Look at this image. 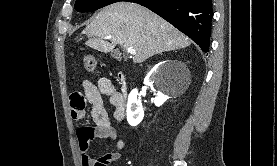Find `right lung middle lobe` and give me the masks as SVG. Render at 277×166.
I'll list each match as a JSON object with an SVG mask.
<instances>
[{"instance_id": "1", "label": "right lung middle lobe", "mask_w": 277, "mask_h": 166, "mask_svg": "<svg viewBox=\"0 0 277 166\" xmlns=\"http://www.w3.org/2000/svg\"><path fill=\"white\" fill-rule=\"evenodd\" d=\"M118 1L121 0H76L75 10L78 12H89Z\"/></svg>"}]
</instances>
